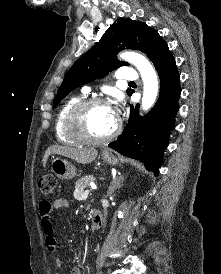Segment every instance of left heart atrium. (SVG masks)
<instances>
[{
  "instance_id": "1",
  "label": "left heart atrium",
  "mask_w": 221,
  "mask_h": 274,
  "mask_svg": "<svg viewBox=\"0 0 221 274\" xmlns=\"http://www.w3.org/2000/svg\"><path fill=\"white\" fill-rule=\"evenodd\" d=\"M111 109H112L113 115H114L115 117H117V116H118V113H119V108H118V107H113V108H111Z\"/></svg>"
}]
</instances>
